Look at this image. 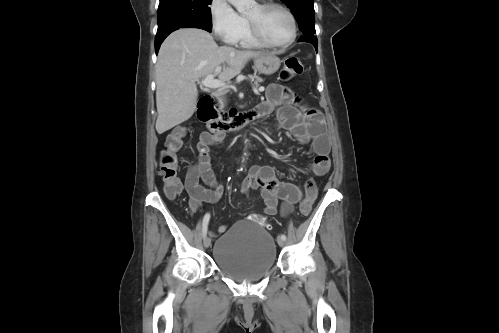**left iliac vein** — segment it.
Returning <instances> with one entry per match:
<instances>
[{
    "mask_svg": "<svg viewBox=\"0 0 499 333\" xmlns=\"http://www.w3.org/2000/svg\"><path fill=\"white\" fill-rule=\"evenodd\" d=\"M277 243L279 246H284L285 245V240H283L281 237H278L277 238Z\"/></svg>",
    "mask_w": 499,
    "mask_h": 333,
    "instance_id": "4c4485c4",
    "label": "left iliac vein"
}]
</instances>
